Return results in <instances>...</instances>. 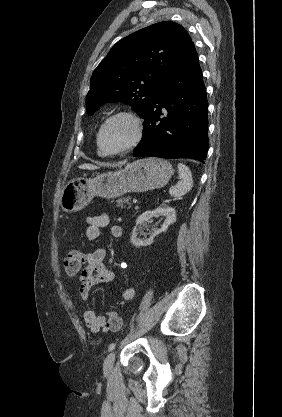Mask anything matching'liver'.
<instances>
[{
    "instance_id": "obj_1",
    "label": "liver",
    "mask_w": 282,
    "mask_h": 417,
    "mask_svg": "<svg viewBox=\"0 0 282 417\" xmlns=\"http://www.w3.org/2000/svg\"><path fill=\"white\" fill-rule=\"evenodd\" d=\"M79 168H86V170H95V168H100V166H95V164H89V162H85V164H80Z\"/></svg>"
}]
</instances>
